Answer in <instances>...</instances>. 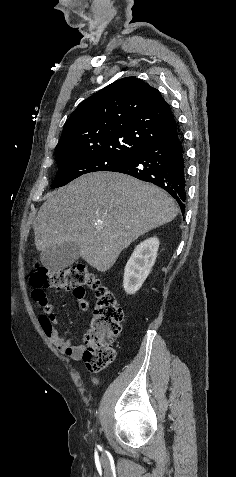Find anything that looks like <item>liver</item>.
Segmentation results:
<instances>
[{
	"label": "liver",
	"mask_w": 236,
	"mask_h": 477,
	"mask_svg": "<svg viewBox=\"0 0 236 477\" xmlns=\"http://www.w3.org/2000/svg\"><path fill=\"white\" fill-rule=\"evenodd\" d=\"M177 214L174 200L152 184L121 173H89L49 195L33 222L35 245L43 252L74 243L79 256L106 272L122 250Z\"/></svg>",
	"instance_id": "liver-1"
}]
</instances>
